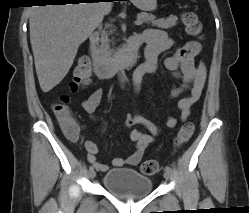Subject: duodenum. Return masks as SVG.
<instances>
[{"label": "duodenum", "instance_id": "410a0bca", "mask_svg": "<svg viewBox=\"0 0 249 213\" xmlns=\"http://www.w3.org/2000/svg\"><path fill=\"white\" fill-rule=\"evenodd\" d=\"M100 36L94 32L89 37V55L86 61L91 66L94 74L101 79L110 78L119 70L134 65L137 57V50L140 46L137 37L133 36L127 40L126 45L115 60L104 59L98 50ZM135 81H140L141 73L134 76Z\"/></svg>", "mask_w": 249, "mask_h": 213}]
</instances>
